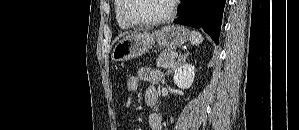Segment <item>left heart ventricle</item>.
<instances>
[{"label": "left heart ventricle", "instance_id": "obj_1", "mask_svg": "<svg viewBox=\"0 0 299 130\" xmlns=\"http://www.w3.org/2000/svg\"><path fill=\"white\" fill-rule=\"evenodd\" d=\"M169 0H131L129 13L139 20H146L164 15L170 6Z\"/></svg>", "mask_w": 299, "mask_h": 130}]
</instances>
